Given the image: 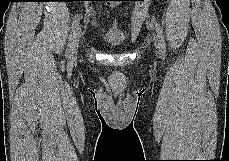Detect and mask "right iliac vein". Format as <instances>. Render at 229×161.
Instances as JSON below:
<instances>
[{
	"label": "right iliac vein",
	"instance_id": "right-iliac-vein-1",
	"mask_svg": "<svg viewBox=\"0 0 229 161\" xmlns=\"http://www.w3.org/2000/svg\"><path fill=\"white\" fill-rule=\"evenodd\" d=\"M81 36H82V29L78 28L76 31V34L74 36V40L72 42V45H71V52H70V59L71 60L75 59V57L77 55L78 46H79Z\"/></svg>",
	"mask_w": 229,
	"mask_h": 161
}]
</instances>
